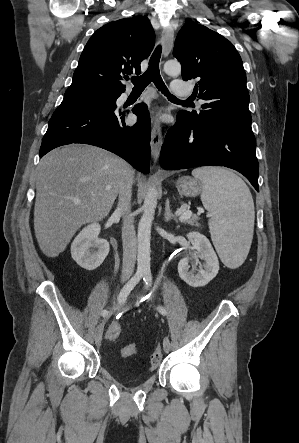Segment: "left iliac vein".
I'll return each mask as SVG.
<instances>
[{
    "mask_svg": "<svg viewBox=\"0 0 299 443\" xmlns=\"http://www.w3.org/2000/svg\"><path fill=\"white\" fill-rule=\"evenodd\" d=\"M163 348L165 352H169L171 348L170 339L168 337H165L163 340Z\"/></svg>",
    "mask_w": 299,
    "mask_h": 443,
    "instance_id": "left-iliac-vein-1",
    "label": "left iliac vein"
}]
</instances>
